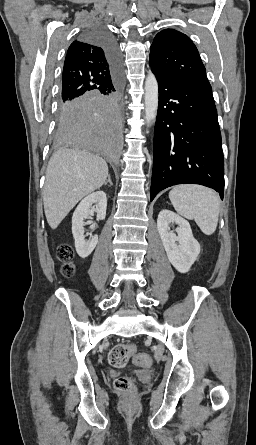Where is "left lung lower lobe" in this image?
Returning a JSON list of instances; mask_svg holds the SVG:
<instances>
[{
    "label": "left lung lower lobe",
    "instance_id": "obj_1",
    "mask_svg": "<svg viewBox=\"0 0 256 445\" xmlns=\"http://www.w3.org/2000/svg\"><path fill=\"white\" fill-rule=\"evenodd\" d=\"M153 73L159 85V107L150 200L159 191L183 183L213 188L223 199L224 160L212 91L175 75Z\"/></svg>",
    "mask_w": 256,
    "mask_h": 445
}]
</instances>
